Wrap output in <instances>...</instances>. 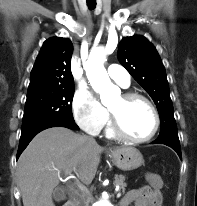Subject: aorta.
Instances as JSON below:
<instances>
[{
	"label": "aorta",
	"mask_w": 197,
	"mask_h": 206,
	"mask_svg": "<svg viewBox=\"0 0 197 206\" xmlns=\"http://www.w3.org/2000/svg\"><path fill=\"white\" fill-rule=\"evenodd\" d=\"M106 60L104 48L99 47L92 50L87 62L84 64L87 78L92 88L100 94L101 102L107 104L111 90L114 89L109 76L104 68V62ZM95 206H113L109 198L104 194L99 199Z\"/></svg>",
	"instance_id": "aorta-1"
}]
</instances>
